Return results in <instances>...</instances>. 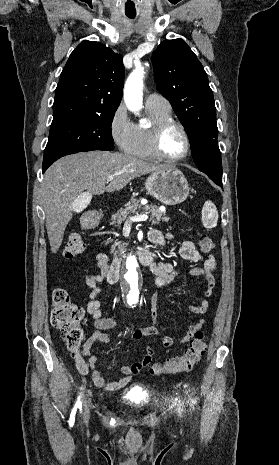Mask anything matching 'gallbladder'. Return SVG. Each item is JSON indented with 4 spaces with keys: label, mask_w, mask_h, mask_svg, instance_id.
Wrapping results in <instances>:
<instances>
[{
    "label": "gallbladder",
    "mask_w": 279,
    "mask_h": 465,
    "mask_svg": "<svg viewBox=\"0 0 279 465\" xmlns=\"http://www.w3.org/2000/svg\"><path fill=\"white\" fill-rule=\"evenodd\" d=\"M84 198L78 197L74 202H73V208L76 210V212H80L85 208V202L83 200Z\"/></svg>",
    "instance_id": "obj_1"
}]
</instances>
